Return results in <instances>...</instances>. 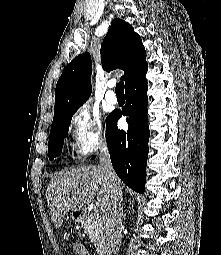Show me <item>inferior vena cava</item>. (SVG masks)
<instances>
[{
	"instance_id": "1",
	"label": "inferior vena cava",
	"mask_w": 221,
	"mask_h": 255,
	"mask_svg": "<svg viewBox=\"0 0 221 255\" xmlns=\"http://www.w3.org/2000/svg\"><path fill=\"white\" fill-rule=\"evenodd\" d=\"M98 155L100 168L104 174V178L112 184L111 197L104 210V233L106 235L109 251L115 255L119 250L122 237L123 194L121 186L116 183L117 176L112 167L105 142L100 144Z\"/></svg>"
}]
</instances>
